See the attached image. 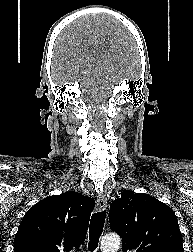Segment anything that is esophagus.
Returning a JSON list of instances; mask_svg holds the SVG:
<instances>
[{"mask_svg": "<svg viewBox=\"0 0 193 252\" xmlns=\"http://www.w3.org/2000/svg\"><path fill=\"white\" fill-rule=\"evenodd\" d=\"M97 206L100 211H104L107 207V198L103 192L97 196Z\"/></svg>", "mask_w": 193, "mask_h": 252, "instance_id": "1", "label": "esophagus"}]
</instances>
